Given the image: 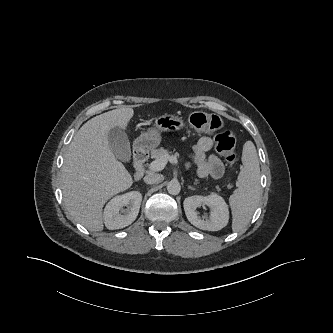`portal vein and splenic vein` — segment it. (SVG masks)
<instances>
[{
	"instance_id": "portal-vein-and-splenic-vein-1",
	"label": "portal vein and splenic vein",
	"mask_w": 333,
	"mask_h": 333,
	"mask_svg": "<svg viewBox=\"0 0 333 333\" xmlns=\"http://www.w3.org/2000/svg\"><path fill=\"white\" fill-rule=\"evenodd\" d=\"M168 161L172 164H176L177 158L175 156H164L156 159L150 163L149 170L153 172L161 171L164 169Z\"/></svg>"
}]
</instances>
